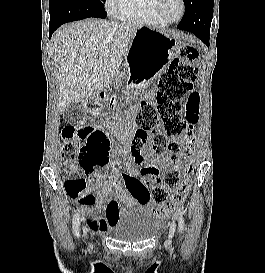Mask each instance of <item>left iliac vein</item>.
Instances as JSON below:
<instances>
[{"label":"left iliac vein","instance_id":"4c4485c4","mask_svg":"<svg viewBox=\"0 0 265 273\" xmlns=\"http://www.w3.org/2000/svg\"><path fill=\"white\" fill-rule=\"evenodd\" d=\"M174 229H175V227H174V226H171L170 235H169V240H168V242H167L168 245H169L170 242H171V238H172V236H173Z\"/></svg>","mask_w":265,"mask_h":273}]
</instances>
